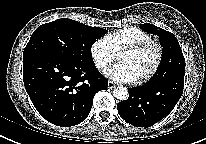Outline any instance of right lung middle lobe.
Masks as SVG:
<instances>
[{
    "instance_id": "obj_1",
    "label": "right lung middle lobe",
    "mask_w": 206,
    "mask_h": 144,
    "mask_svg": "<svg viewBox=\"0 0 206 144\" xmlns=\"http://www.w3.org/2000/svg\"><path fill=\"white\" fill-rule=\"evenodd\" d=\"M107 30L62 18L39 26L26 45L23 57L45 54L81 63L91 62L90 49Z\"/></svg>"
}]
</instances>
